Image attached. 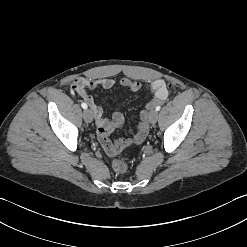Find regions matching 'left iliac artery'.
<instances>
[{"label": "left iliac artery", "mask_w": 247, "mask_h": 247, "mask_svg": "<svg viewBox=\"0 0 247 247\" xmlns=\"http://www.w3.org/2000/svg\"><path fill=\"white\" fill-rule=\"evenodd\" d=\"M160 109H161L160 106H157V107H156V111H159Z\"/></svg>", "instance_id": "left-iliac-artery-1"}]
</instances>
